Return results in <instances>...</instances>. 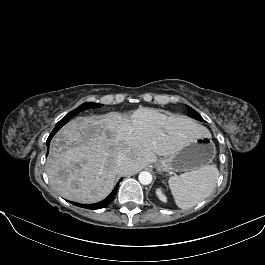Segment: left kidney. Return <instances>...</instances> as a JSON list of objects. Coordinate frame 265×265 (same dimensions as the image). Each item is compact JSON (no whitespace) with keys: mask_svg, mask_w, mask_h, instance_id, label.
<instances>
[{"mask_svg":"<svg viewBox=\"0 0 265 265\" xmlns=\"http://www.w3.org/2000/svg\"><path fill=\"white\" fill-rule=\"evenodd\" d=\"M156 195L162 202H167V197L164 195L163 190L161 188H158L156 190Z\"/></svg>","mask_w":265,"mask_h":265,"instance_id":"1","label":"left kidney"}]
</instances>
